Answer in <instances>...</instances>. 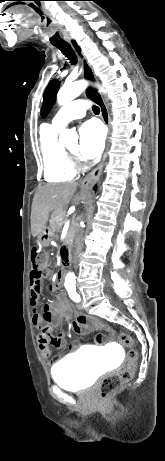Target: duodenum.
Returning a JSON list of instances; mask_svg holds the SVG:
<instances>
[{
  "mask_svg": "<svg viewBox=\"0 0 165 461\" xmlns=\"http://www.w3.org/2000/svg\"><path fill=\"white\" fill-rule=\"evenodd\" d=\"M68 245H69V243L66 242V243L64 244V248H63V251H62L63 260H64L65 262H68V259H69V248H68Z\"/></svg>",
  "mask_w": 165,
  "mask_h": 461,
  "instance_id": "410a0bca",
  "label": "duodenum"
}]
</instances>
